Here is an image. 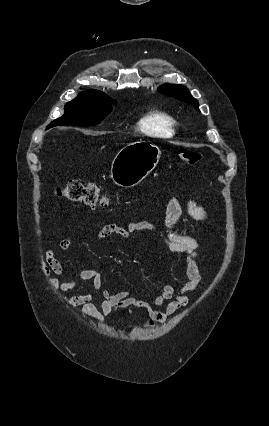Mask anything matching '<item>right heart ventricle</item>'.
<instances>
[{"label":"right heart ventricle","instance_id":"1","mask_svg":"<svg viewBox=\"0 0 269 426\" xmlns=\"http://www.w3.org/2000/svg\"><path fill=\"white\" fill-rule=\"evenodd\" d=\"M174 119L164 112H151L140 121L141 130L150 136L170 137L173 134Z\"/></svg>","mask_w":269,"mask_h":426}]
</instances>
